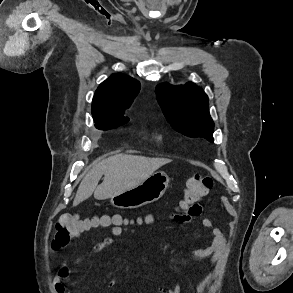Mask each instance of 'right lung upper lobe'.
Returning <instances> with one entry per match:
<instances>
[{
    "label": "right lung upper lobe",
    "mask_w": 293,
    "mask_h": 293,
    "mask_svg": "<svg viewBox=\"0 0 293 293\" xmlns=\"http://www.w3.org/2000/svg\"><path fill=\"white\" fill-rule=\"evenodd\" d=\"M140 83L124 74H113L101 83L92 101L94 119L124 113L137 96Z\"/></svg>",
    "instance_id": "cb5924a9"
}]
</instances>
